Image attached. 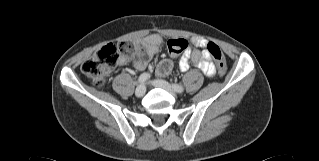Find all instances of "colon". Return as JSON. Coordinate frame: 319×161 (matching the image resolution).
<instances>
[{"mask_svg": "<svg viewBox=\"0 0 319 161\" xmlns=\"http://www.w3.org/2000/svg\"><path fill=\"white\" fill-rule=\"evenodd\" d=\"M170 53L179 54L188 51V43L185 40H170L167 43ZM206 49L214 58L218 73L223 76L226 73V60L220 47L214 42H208ZM136 52L130 41H120L104 46L82 65V73L96 86L101 87L106 83L107 76L116 66L120 55L131 58ZM171 63L168 60L159 64L160 72H169Z\"/></svg>", "mask_w": 319, "mask_h": 161, "instance_id": "colon-1", "label": "colon"}]
</instances>
